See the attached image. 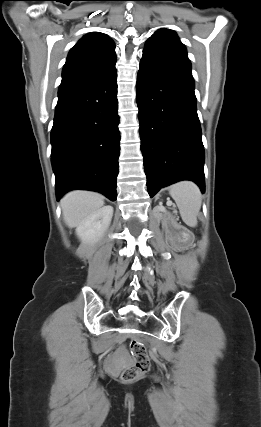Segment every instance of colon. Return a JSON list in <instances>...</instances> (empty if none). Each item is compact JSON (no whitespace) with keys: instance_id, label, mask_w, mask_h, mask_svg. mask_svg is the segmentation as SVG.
Masks as SVG:
<instances>
[{"instance_id":"obj_1","label":"colon","mask_w":261,"mask_h":427,"mask_svg":"<svg viewBox=\"0 0 261 427\" xmlns=\"http://www.w3.org/2000/svg\"><path fill=\"white\" fill-rule=\"evenodd\" d=\"M130 352L133 357V364L121 374L122 380L126 382L140 378L150 369V359L147 349L140 340H133L130 343Z\"/></svg>"}]
</instances>
